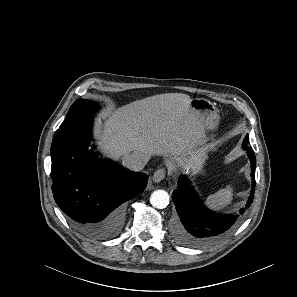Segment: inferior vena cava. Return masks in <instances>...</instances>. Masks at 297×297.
Instances as JSON below:
<instances>
[{
    "instance_id": "obj_1",
    "label": "inferior vena cava",
    "mask_w": 297,
    "mask_h": 297,
    "mask_svg": "<svg viewBox=\"0 0 297 297\" xmlns=\"http://www.w3.org/2000/svg\"><path fill=\"white\" fill-rule=\"evenodd\" d=\"M149 158L144 153H133L123 159L126 168L132 171H141L147 164Z\"/></svg>"
}]
</instances>
